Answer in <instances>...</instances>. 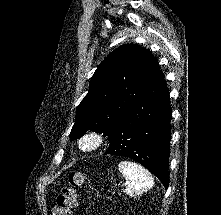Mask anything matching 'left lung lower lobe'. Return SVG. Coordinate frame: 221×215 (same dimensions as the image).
Listing matches in <instances>:
<instances>
[{
	"instance_id": "obj_1",
	"label": "left lung lower lobe",
	"mask_w": 221,
	"mask_h": 215,
	"mask_svg": "<svg viewBox=\"0 0 221 215\" xmlns=\"http://www.w3.org/2000/svg\"><path fill=\"white\" fill-rule=\"evenodd\" d=\"M169 91L161 71L121 118L105 154L126 156L150 170L168 187L171 140Z\"/></svg>"
}]
</instances>
